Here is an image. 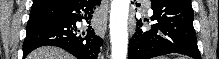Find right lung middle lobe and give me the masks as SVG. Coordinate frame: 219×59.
I'll return each mask as SVG.
<instances>
[{
	"mask_svg": "<svg viewBox=\"0 0 219 59\" xmlns=\"http://www.w3.org/2000/svg\"><path fill=\"white\" fill-rule=\"evenodd\" d=\"M50 15L49 14H35V15H30L29 22L27 26H32L40 23H44L49 21Z\"/></svg>",
	"mask_w": 219,
	"mask_h": 59,
	"instance_id": "dd1d6c3e",
	"label": "right lung middle lobe"
}]
</instances>
